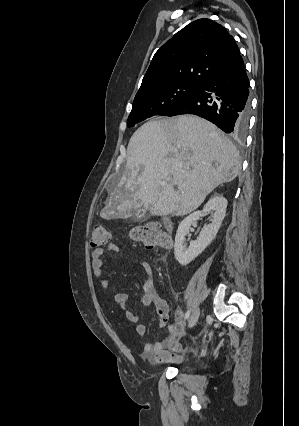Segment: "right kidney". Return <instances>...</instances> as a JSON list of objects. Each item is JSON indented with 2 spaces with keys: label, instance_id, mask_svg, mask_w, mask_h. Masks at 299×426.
Instances as JSON below:
<instances>
[{
  "label": "right kidney",
  "instance_id": "ca27d5eb",
  "mask_svg": "<svg viewBox=\"0 0 299 426\" xmlns=\"http://www.w3.org/2000/svg\"><path fill=\"white\" fill-rule=\"evenodd\" d=\"M227 203L226 198L222 195L215 194L204 205L202 210L193 212L181 221L177 229L174 245L175 258L181 265L185 266L189 264L193 259L200 255L215 238L225 217ZM211 211L213 212L211 223L207 224L202 229L197 240L191 241L187 248L184 245L186 240L185 236L189 234L192 223Z\"/></svg>",
  "mask_w": 299,
  "mask_h": 426
}]
</instances>
